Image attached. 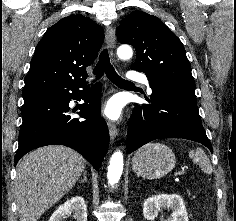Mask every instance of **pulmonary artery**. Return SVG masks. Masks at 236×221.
<instances>
[{"mask_svg":"<svg viewBox=\"0 0 236 221\" xmlns=\"http://www.w3.org/2000/svg\"><path fill=\"white\" fill-rule=\"evenodd\" d=\"M131 80L137 81L143 85H145L147 87V91L150 93L151 87H150V83L149 80L147 79V77L145 75H133L129 77Z\"/></svg>","mask_w":236,"mask_h":221,"instance_id":"pulmonary-artery-1","label":"pulmonary artery"}]
</instances>
